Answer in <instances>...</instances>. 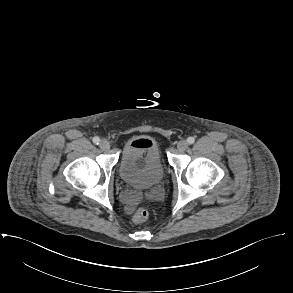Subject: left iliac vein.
I'll use <instances>...</instances> for the list:
<instances>
[{
    "mask_svg": "<svg viewBox=\"0 0 293 293\" xmlns=\"http://www.w3.org/2000/svg\"><path fill=\"white\" fill-rule=\"evenodd\" d=\"M179 151H185L188 148V142L186 140H181L177 144Z\"/></svg>",
    "mask_w": 293,
    "mask_h": 293,
    "instance_id": "1",
    "label": "left iliac vein"
}]
</instances>
